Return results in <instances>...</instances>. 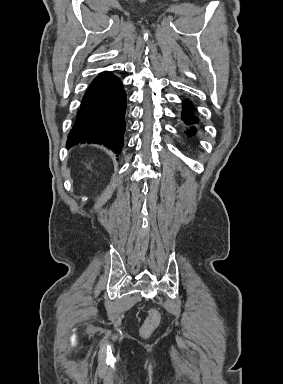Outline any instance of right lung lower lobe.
Segmentation results:
<instances>
[{
	"label": "right lung lower lobe",
	"instance_id": "obj_1",
	"mask_svg": "<svg viewBox=\"0 0 283 384\" xmlns=\"http://www.w3.org/2000/svg\"><path fill=\"white\" fill-rule=\"evenodd\" d=\"M126 93L118 77L102 72L87 89L67 147L78 143H97L119 154L125 132Z\"/></svg>",
	"mask_w": 283,
	"mask_h": 384
}]
</instances>
